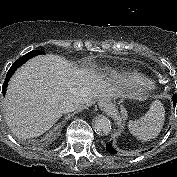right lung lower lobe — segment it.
Wrapping results in <instances>:
<instances>
[{
	"label": "right lung lower lobe",
	"instance_id": "right-lung-lower-lobe-1",
	"mask_svg": "<svg viewBox=\"0 0 177 177\" xmlns=\"http://www.w3.org/2000/svg\"><path fill=\"white\" fill-rule=\"evenodd\" d=\"M41 54H44V52L39 51V50H33V51L25 54L24 56L20 57L18 60H16L14 62V64L10 67V69L6 75V79H5L3 86H2V92L4 95H5L7 85H8V81H9L10 77L12 76V74L16 71V69L19 68L26 61H28L30 58L37 56V55H41Z\"/></svg>",
	"mask_w": 177,
	"mask_h": 177
}]
</instances>
